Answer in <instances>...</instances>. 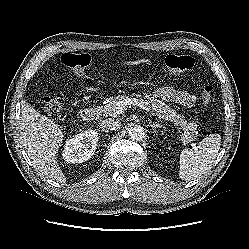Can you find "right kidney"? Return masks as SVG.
I'll return each mask as SVG.
<instances>
[{
    "label": "right kidney",
    "mask_w": 249,
    "mask_h": 249,
    "mask_svg": "<svg viewBox=\"0 0 249 249\" xmlns=\"http://www.w3.org/2000/svg\"><path fill=\"white\" fill-rule=\"evenodd\" d=\"M98 144V133L85 130L68 139L63 147V159L68 163H82L90 159Z\"/></svg>",
    "instance_id": "right-kidney-1"
}]
</instances>
